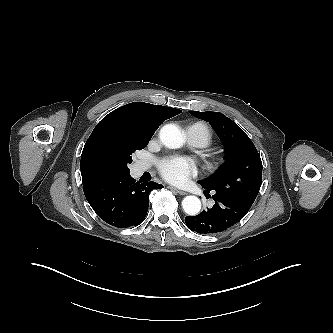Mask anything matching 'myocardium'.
<instances>
[{
  "label": "myocardium",
  "instance_id": "f54148a6",
  "mask_svg": "<svg viewBox=\"0 0 333 333\" xmlns=\"http://www.w3.org/2000/svg\"><path fill=\"white\" fill-rule=\"evenodd\" d=\"M221 162H217V165H220Z\"/></svg>",
  "mask_w": 333,
  "mask_h": 333
}]
</instances>
